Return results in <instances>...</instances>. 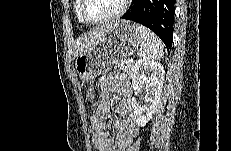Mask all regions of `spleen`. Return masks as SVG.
Here are the masks:
<instances>
[{"label": "spleen", "mask_w": 231, "mask_h": 151, "mask_svg": "<svg viewBox=\"0 0 231 151\" xmlns=\"http://www.w3.org/2000/svg\"><path fill=\"white\" fill-rule=\"evenodd\" d=\"M136 30L139 35V57L142 60H159L163 56V44L161 40L148 28L137 24Z\"/></svg>", "instance_id": "spleen-1"}]
</instances>
